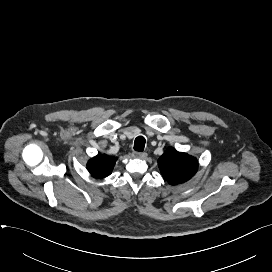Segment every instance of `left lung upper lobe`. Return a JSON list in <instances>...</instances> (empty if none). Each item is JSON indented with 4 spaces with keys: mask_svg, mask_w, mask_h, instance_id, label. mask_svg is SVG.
Wrapping results in <instances>:
<instances>
[{
    "mask_svg": "<svg viewBox=\"0 0 272 272\" xmlns=\"http://www.w3.org/2000/svg\"><path fill=\"white\" fill-rule=\"evenodd\" d=\"M160 172L171 185L188 181L198 169V161L187 153L168 148L158 159Z\"/></svg>",
    "mask_w": 272,
    "mask_h": 272,
    "instance_id": "1",
    "label": "left lung upper lobe"
}]
</instances>
